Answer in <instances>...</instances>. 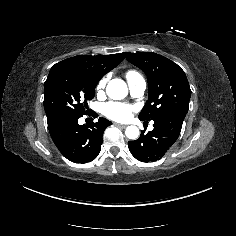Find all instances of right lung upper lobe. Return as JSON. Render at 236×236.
I'll list each match as a JSON object with an SVG mask.
<instances>
[{
  "mask_svg": "<svg viewBox=\"0 0 236 236\" xmlns=\"http://www.w3.org/2000/svg\"><path fill=\"white\" fill-rule=\"evenodd\" d=\"M124 59V53L112 55H79L61 61L64 64L86 66L95 70L101 79L103 75L116 67Z\"/></svg>",
  "mask_w": 236,
  "mask_h": 236,
  "instance_id": "obj_1",
  "label": "right lung upper lobe"
}]
</instances>
